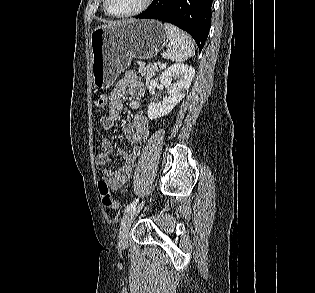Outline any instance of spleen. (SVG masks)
Wrapping results in <instances>:
<instances>
[{"mask_svg":"<svg viewBox=\"0 0 315 293\" xmlns=\"http://www.w3.org/2000/svg\"><path fill=\"white\" fill-rule=\"evenodd\" d=\"M170 43L167 48V57L175 62L186 61L195 55V47L191 37L170 23H164Z\"/></svg>","mask_w":315,"mask_h":293,"instance_id":"spleen-1","label":"spleen"}]
</instances>
